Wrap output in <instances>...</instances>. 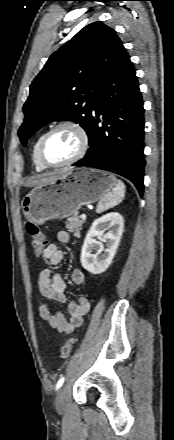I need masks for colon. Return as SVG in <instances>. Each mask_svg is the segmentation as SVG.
I'll list each match as a JSON object with an SVG mask.
<instances>
[{
  "mask_svg": "<svg viewBox=\"0 0 174 440\" xmlns=\"http://www.w3.org/2000/svg\"><path fill=\"white\" fill-rule=\"evenodd\" d=\"M26 228L31 237L32 252L35 256H39L46 246L45 237L39 226L34 223H27ZM75 342L76 339L71 337L64 343L60 350V357L62 359H67L70 356Z\"/></svg>",
  "mask_w": 174,
  "mask_h": 440,
  "instance_id": "1",
  "label": "colon"
}]
</instances>
